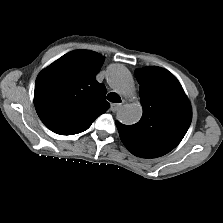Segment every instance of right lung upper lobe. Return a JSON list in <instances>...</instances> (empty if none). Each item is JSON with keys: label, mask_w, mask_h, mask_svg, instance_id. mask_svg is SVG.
Instances as JSON below:
<instances>
[{"label": "right lung upper lobe", "mask_w": 223, "mask_h": 223, "mask_svg": "<svg viewBox=\"0 0 223 223\" xmlns=\"http://www.w3.org/2000/svg\"><path fill=\"white\" fill-rule=\"evenodd\" d=\"M104 58L93 51H72L38 75L34 104L47 128L60 135L77 134L110 107L105 86L95 79Z\"/></svg>", "instance_id": "cb5924a9"}]
</instances>
